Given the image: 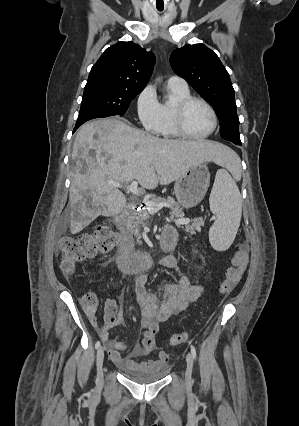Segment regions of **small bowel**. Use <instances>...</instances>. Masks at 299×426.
<instances>
[{"label": "small bowel", "mask_w": 299, "mask_h": 426, "mask_svg": "<svg viewBox=\"0 0 299 426\" xmlns=\"http://www.w3.org/2000/svg\"><path fill=\"white\" fill-rule=\"evenodd\" d=\"M165 229L173 230L177 241L175 229L169 226ZM154 264L180 272L178 260L173 255H164L155 263L151 261L148 266L136 272L134 291L141 311L140 326L143 333L141 346H135L124 358L121 352L127 349L126 343L110 339V330L122 323L121 312L115 299L108 298L105 301L103 326L99 327L95 317L93 315L90 316L92 325L96 328L99 337L108 348L112 362L122 369H152L165 366L168 362V354L163 350H159L157 345L159 325L170 317L184 311L202 292L200 285L193 284L182 273H180V278L175 283L166 282L158 291L148 289L149 277L147 270ZM156 350H159V352L155 360L138 361L140 357Z\"/></svg>", "instance_id": "obj_1"}]
</instances>
